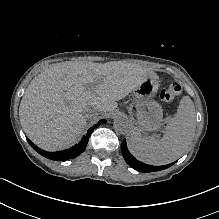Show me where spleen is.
Listing matches in <instances>:
<instances>
[{"instance_id":"obj_1","label":"spleen","mask_w":219,"mask_h":219,"mask_svg":"<svg viewBox=\"0 0 219 219\" xmlns=\"http://www.w3.org/2000/svg\"><path fill=\"white\" fill-rule=\"evenodd\" d=\"M196 130V112L192 100L183 98L177 114L166 124L162 139L143 137L133 129L129 137V150L140 162L161 166L179 158L188 149Z\"/></svg>"}]
</instances>
